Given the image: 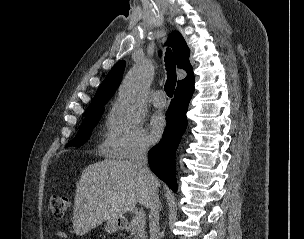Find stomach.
<instances>
[{"mask_svg": "<svg viewBox=\"0 0 304 239\" xmlns=\"http://www.w3.org/2000/svg\"><path fill=\"white\" fill-rule=\"evenodd\" d=\"M121 221L120 219L107 220L105 224V231L108 233H114L120 229Z\"/></svg>", "mask_w": 304, "mask_h": 239, "instance_id": "obj_1", "label": "stomach"}]
</instances>
